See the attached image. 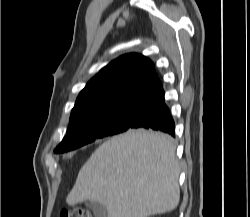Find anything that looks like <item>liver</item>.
<instances>
[{
    "label": "liver",
    "mask_w": 250,
    "mask_h": 217,
    "mask_svg": "<svg viewBox=\"0 0 250 217\" xmlns=\"http://www.w3.org/2000/svg\"><path fill=\"white\" fill-rule=\"evenodd\" d=\"M175 152L174 140L163 133L138 129L114 136L82 166L66 202H98L108 217L170 212L180 199Z\"/></svg>",
    "instance_id": "1"
}]
</instances>
